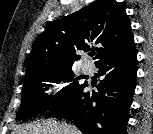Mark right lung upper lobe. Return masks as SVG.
<instances>
[{
	"instance_id": "obj_1",
	"label": "right lung upper lobe",
	"mask_w": 153,
	"mask_h": 134,
	"mask_svg": "<svg viewBox=\"0 0 153 134\" xmlns=\"http://www.w3.org/2000/svg\"><path fill=\"white\" fill-rule=\"evenodd\" d=\"M133 41L130 21L122 3L94 1L46 27L33 45L24 79L50 69L72 66L80 58L76 51L87 52L92 44H99L96 64Z\"/></svg>"
}]
</instances>
